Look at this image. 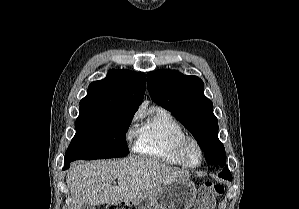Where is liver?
<instances>
[{
  "label": "liver",
  "mask_w": 299,
  "mask_h": 209,
  "mask_svg": "<svg viewBox=\"0 0 299 209\" xmlns=\"http://www.w3.org/2000/svg\"><path fill=\"white\" fill-rule=\"evenodd\" d=\"M177 177H189L155 159L130 156L118 161L73 164L66 183L72 196L71 209L90 205L133 201L143 193ZM118 180V186L112 182Z\"/></svg>",
  "instance_id": "1"
}]
</instances>
